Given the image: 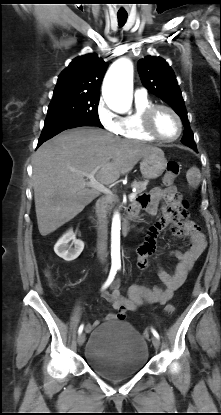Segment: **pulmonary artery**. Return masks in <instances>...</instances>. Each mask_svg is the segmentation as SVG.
<instances>
[{"instance_id":"1","label":"pulmonary artery","mask_w":221,"mask_h":415,"mask_svg":"<svg viewBox=\"0 0 221 415\" xmlns=\"http://www.w3.org/2000/svg\"><path fill=\"white\" fill-rule=\"evenodd\" d=\"M147 95V92L144 88H137L135 90V97H145Z\"/></svg>"}]
</instances>
